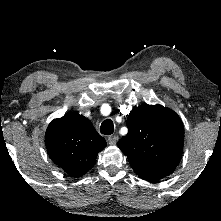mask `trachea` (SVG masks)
<instances>
[{"instance_id": "trachea-1", "label": "trachea", "mask_w": 221, "mask_h": 221, "mask_svg": "<svg viewBox=\"0 0 221 221\" xmlns=\"http://www.w3.org/2000/svg\"><path fill=\"white\" fill-rule=\"evenodd\" d=\"M100 132L104 135H111L114 132V124L111 119L102 122Z\"/></svg>"}]
</instances>
